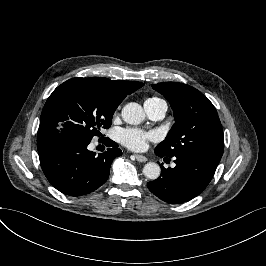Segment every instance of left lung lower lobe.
I'll use <instances>...</instances> for the list:
<instances>
[{
	"instance_id": "0a47b994",
	"label": "left lung lower lobe",
	"mask_w": 266,
	"mask_h": 266,
	"mask_svg": "<svg viewBox=\"0 0 266 266\" xmlns=\"http://www.w3.org/2000/svg\"><path fill=\"white\" fill-rule=\"evenodd\" d=\"M156 155L165 154L155 150ZM176 166L164 168L154 181L148 182L149 190L170 204H181L198 196L210 183L219 160L199 153H181L174 156Z\"/></svg>"
}]
</instances>
